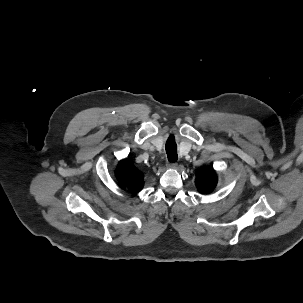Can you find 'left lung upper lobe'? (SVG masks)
Returning a JSON list of instances; mask_svg holds the SVG:
<instances>
[{
  "label": "left lung upper lobe",
  "mask_w": 303,
  "mask_h": 303,
  "mask_svg": "<svg viewBox=\"0 0 303 303\" xmlns=\"http://www.w3.org/2000/svg\"><path fill=\"white\" fill-rule=\"evenodd\" d=\"M217 184V176L212 168H206L201 175L196 178V186L199 192L207 194L211 192Z\"/></svg>",
  "instance_id": "5c2ea615"
}]
</instances>
